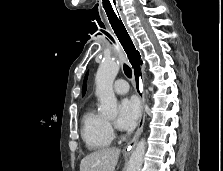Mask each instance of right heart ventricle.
Segmentation results:
<instances>
[{
    "mask_svg": "<svg viewBox=\"0 0 223 171\" xmlns=\"http://www.w3.org/2000/svg\"><path fill=\"white\" fill-rule=\"evenodd\" d=\"M81 136L87 148L92 151L107 148L113 140L108 121L93 107H89L82 116Z\"/></svg>",
    "mask_w": 223,
    "mask_h": 171,
    "instance_id": "right-heart-ventricle-1",
    "label": "right heart ventricle"
}]
</instances>
